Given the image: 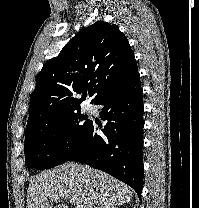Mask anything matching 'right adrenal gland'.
<instances>
[{
    "instance_id": "obj_1",
    "label": "right adrenal gland",
    "mask_w": 199,
    "mask_h": 208,
    "mask_svg": "<svg viewBox=\"0 0 199 208\" xmlns=\"http://www.w3.org/2000/svg\"><path fill=\"white\" fill-rule=\"evenodd\" d=\"M112 208H117V206H114V207H112Z\"/></svg>"
}]
</instances>
